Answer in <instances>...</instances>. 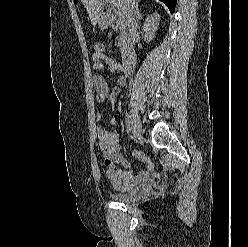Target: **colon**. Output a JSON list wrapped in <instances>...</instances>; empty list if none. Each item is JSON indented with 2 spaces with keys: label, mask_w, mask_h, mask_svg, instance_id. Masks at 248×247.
<instances>
[{
  "label": "colon",
  "mask_w": 248,
  "mask_h": 247,
  "mask_svg": "<svg viewBox=\"0 0 248 247\" xmlns=\"http://www.w3.org/2000/svg\"><path fill=\"white\" fill-rule=\"evenodd\" d=\"M94 50H95V54L96 55H102L103 52H104V45L102 42H96L95 45H94ZM135 156L143 161L150 170H153L154 169V163L152 162V160L146 156L145 154H143L142 152H135Z\"/></svg>",
  "instance_id": "obj_1"
}]
</instances>
